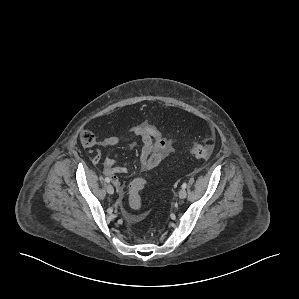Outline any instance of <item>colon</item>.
I'll use <instances>...</instances> for the list:
<instances>
[{
    "label": "colon",
    "mask_w": 299,
    "mask_h": 299,
    "mask_svg": "<svg viewBox=\"0 0 299 299\" xmlns=\"http://www.w3.org/2000/svg\"><path fill=\"white\" fill-rule=\"evenodd\" d=\"M81 142L87 146H93L95 144V137L90 131H83L81 133ZM213 152V145L211 143L197 144L193 146L190 153L201 159H206L211 156ZM147 184L144 178H136L129 185V203L133 209H138L141 206L140 192ZM144 216H140L143 219Z\"/></svg>",
    "instance_id": "1"
}]
</instances>
